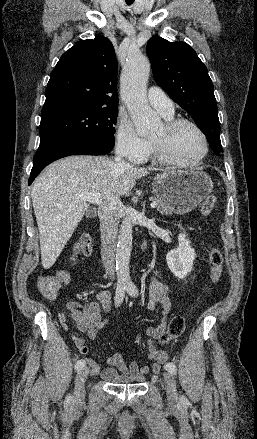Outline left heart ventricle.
Returning <instances> with one entry per match:
<instances>
[{"label":"left heart ventricle","mask_w":257,"mask_h":439,"mask_svg":"<svg viewBox=\"0 0 257 439\" xmlns=\"http://www.w3.org/2000/svg\"><path fill=\"white\" fill-rule=\"evenodd\" d=\"M152 137L160 139L170 156L179 161H193L203 152V141L190 126H182L168 133L161 125Z\"/></svg>","instance_id":"b2bd125f"}]
</instances>
